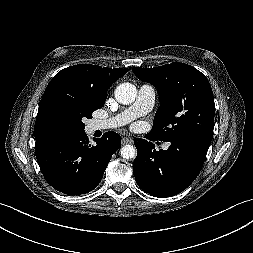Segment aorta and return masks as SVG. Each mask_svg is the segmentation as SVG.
<instances>
[{
	"mask_svg": "<svg viewBox=\"0 0 253 253\" xmlns=\"http://www.w3.org/2000/svg\"><path fill=\"white\" fill-rule=\"evenodd\" d=\"M116 100L124 105L131 104L137 97V89L131 83H122L115 89ZM120 154L124 159H133L136 156V149L132 145H124L120 149Z\"/></svg>",
	"mask_w": 253,
	"mask_h": 253,
	"instance_id": "aorta-1",
	"label": "aorta"
}]
</instances>
